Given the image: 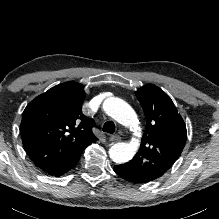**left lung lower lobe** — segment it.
Masks as SVG:
<instances>
[{
    "label": "left lung lower lobe",
    "instance_id": "1",
    "mask_svg": "<svg viewBox=\"0 0 219 219\" xmlns=\"http://www.w3.org/2000/svg\"><path fill=\"white\" fill-rule=\"evenodd\" d=\"M114 171L123 179L133 183H146L153 181L136 171L126 167L124 164L114 166Z\"/></svg>",
    "mask_w": 219,
    "mask_h": 219
}]
</instances>
